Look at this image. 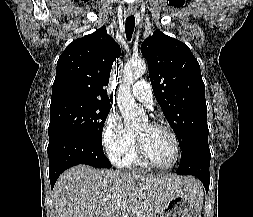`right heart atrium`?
<instances>
[{"mask_svg":"<svg viewBox=\"0 0 253 217\" xmlns=\"http://www.w3.org/2000/svg\"><path fill=\"white\" fill-rule=\"evenodd\" d=\"M102 141L109 158L118 163L135 142V135L125 127L119 114L111 111L103 125Z\"/></svg>","mask_w":253,"mask_h":217,"instance_id":"1","label":"right heart atrium"}]
</instances>
